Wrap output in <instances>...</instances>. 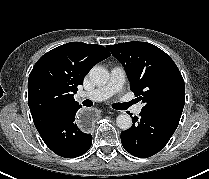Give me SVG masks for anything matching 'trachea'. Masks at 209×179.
I'll return each mask as SVG.
<instances>
[{
    "label": "trachea",
    "mask_w": 209,
    "mask_h": 179,
    "mask_svg": "<svg viewBox=\"0 0 209 179\" xmlns=\"http://www.w3.org/2000/svg\"><path fill=\"white\" fill-rule=\"evenodd\" d=\"M134 102L131 101V102H128V103H118V104H115L114 105V108H117L119 110H125L127 109L130 105H132ZM84 105L85 106H90L92 105V102L90 100H85L84 101Z\"/></svg>",
    "instance_id": "obj_1"
}]
</instances>
